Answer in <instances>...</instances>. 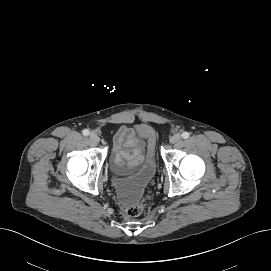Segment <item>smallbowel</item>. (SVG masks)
Returning <instances> with one entry per match:
<instances>
[{
    "label": "small bowel",
    "mask_w": 271,
    "mask_h": 271,
    "mask_svg": "<svg viewBox=\"0 0 271 271\" xmlns=\"http://www.w3.org/2000/svg\"><path fill=\"white\" fill-rule=\"evenodd\" d=\"M144 152V140L134 129L122 126L113 141L114 169L121 172L141 165L144 160Z\"/></svg>",
    "instance_id": "c3829d8e"
}]
</instances>
